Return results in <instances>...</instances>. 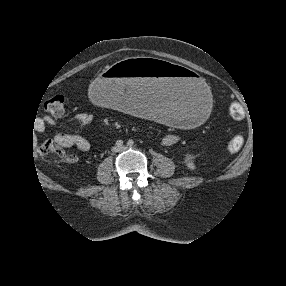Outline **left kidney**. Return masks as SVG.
Wrapping results in <instances>:
<instances>
[{"mask_svg": "<svg viewBox=\"0 0 286 286\" xmlns=\"http://www.w3.org/2000/svg\"><path fill=\"white\" fill-rule=\"evenodd\" d=\"M184 163L186 164L187 168L190 170H194L196 168L194 162L188 156L184 158Z\"/></svg>", "mask_w": 286, "mask_h": 286, "instance_id": "obj_1", "label": "left kidney"}]
</instances>
